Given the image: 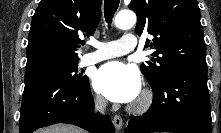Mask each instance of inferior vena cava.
<instances>
[{"label":"inferior vena cava","mask_w":221,"mask_h":133,"mask_svg":"<svg viewBox=\"0 0 221 133\" xmlns=\"http://www.w3.org/2000/svg\"><path fill=\"white\" fill-rule=\"evenodd\" d=\"M106 105H107V101L104 98L97 97L95 99V111H99L101 113H104Z\"/></svg>","instance_id":"obj_1"}]
</instances>
